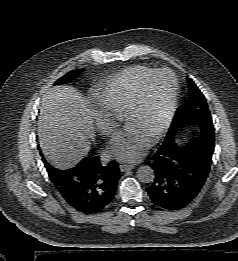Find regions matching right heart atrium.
I'll use <instances>...</instances> for the list:
<instances>
[{
  "mask_svg": "<svg viewBox=\"0 0 238 261\" xmlns=\"http://www.w3.org/2000/svg\"><path fill=\"white\" fill-rule=\"evenodd\" d=\"M92 117L96 130L104 136L111 135L120 121V117L109 113L102 107L95 108L92 111Z\"/></svg>",
  "mask_w": 238,
  "mask_h": 261,
  "instance_id": "obj_1",
  "label": "right heart atrium"
}]
</instances>
